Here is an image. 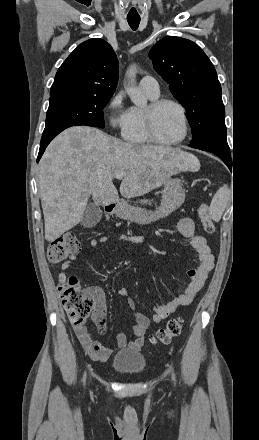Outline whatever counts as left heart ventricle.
<instances>
[{"mask_svg": "<svg viewBox=\"0 0 259 440\" xmlns=\"http://www.w3.org/2000/svg\"><path fill=\"white\" fill-rule=\"evenodd\" d=\"M155 127L164 141H174L183 134V121L179 109L171 104L163 106L156 114Z\"/></svg>", "mask_w": 259, "mask_h": 440, "instance_id": "left-heart-ventricle-1", "label": "left heart ventricle"}]
</instances>
